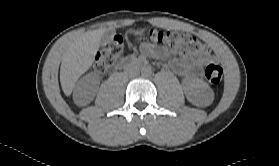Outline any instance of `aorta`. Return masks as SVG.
<instances>
[{
    "mask_svg": "<svg viewBox=\"0 0 279 166\" xmlns=\"http://www.w3.org/2000/svg\"><path fill=\"white\" fill-rule=\"evenodd\" d=\"M141 74L144 77H149L152 74V69L150 67H148V66H144L141 69Z\"/></svg>",
    "mask_w": 279,
    "mask_h": 166,
    "instance_id": "obj_1",
    "label": "aorta"
}]
</instances>
